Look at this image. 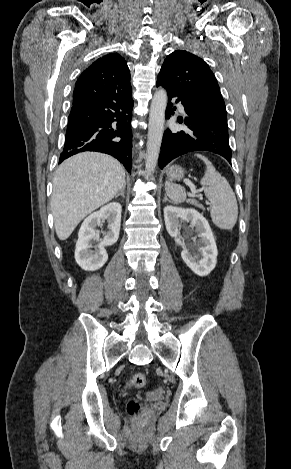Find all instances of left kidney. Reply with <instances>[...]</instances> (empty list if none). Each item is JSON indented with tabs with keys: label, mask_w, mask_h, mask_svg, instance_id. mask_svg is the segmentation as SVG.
<instances>
[{
	"label": "left kidney",
	"mask_w": 291,
	"mask_h": 469,
	"mask_svg": "<svg viewBox=\"0 0 291 469\" xmlns=\"http://www.w3.org/2000/svg\"><path fill=\"white\" fill-rule=\"evenodd\" d=\"M164 220L169 235L182 247L181 257L186 265L198 276H207L216 266L218 251L206 218L195 209L169 205L164 208ZM181 220L190 221L191 226L196 228L199 240L194 243L193 248H186L179 237ZM194 249L199 250L201 254H194Z\"/></svg>",
	"instance_id": "1"
}]
</instances>
